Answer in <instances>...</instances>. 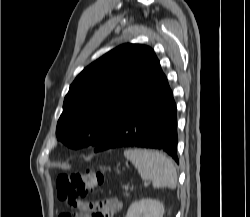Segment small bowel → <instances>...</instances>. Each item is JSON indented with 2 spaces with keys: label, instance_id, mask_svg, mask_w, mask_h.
<instances>
[{
  "label": "small bowel",
  "instance_id": "1",
  "mask_svg": "<svg viewBox=\"0 0 250 217\" xmlns=\"http://www.w3.org/2000/svg\"><path fill=\"white\" fill-rule=\"evenodd\" d=\"M100 203L102 204L103 217H113L120 212L123 207L122 201L118 198H110ZM72 209L76 211L73 217H89L87 214L82 213L79 207Z\"/></svg>",
  "mask_w": 250,
  "mask_h": 217
}]
</instances>
